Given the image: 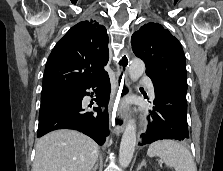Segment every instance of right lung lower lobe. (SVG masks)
Wrapping results in <instances>:
<instances>
[{
  "mask_svg": "<svg viewBox=\"0 0 223 171\" xmlns=\"http://www.w3.org/2000/svg\"><path fill=\"white\" fill-rule=\"evenodd\" d=\"M90 88L96 93V102L99 107L93 109L97 113L85 112L82 107V99L85 95H90L86 92ZM109 95L110 80L107 72H104L81 88L41 97L37 136L41 137L57 129H75L102 145L106 136L109 135L107 109ZM101 106L106 108L104 112L101 111Z\"/></svg>",
  "mask_w": 223,
  "mask_h": 171,
  "instance_id": "98d812e1",
  "label": "right lung lower lobe"
}]
</instances>
